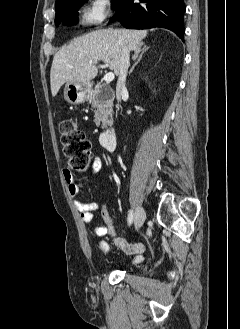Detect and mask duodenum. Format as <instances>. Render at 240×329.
I'll return each mask as SVG.
<instances>
[{"mask_svg":"<svg viewBox=\"0 0 240 329\" xmlns=\"http://www.w3.org/2000/svg\"><path fill=\"white\" fill-rule=\"evenodd\" d=\"M116 131L113 128H109L103 131L100 135V144L103 149L112 151L115 147Z\"/></svg>","mask_w":240,"mask_h":329,"instance_id":"duodenum-1","label":"duodenum"}]
</instances>
